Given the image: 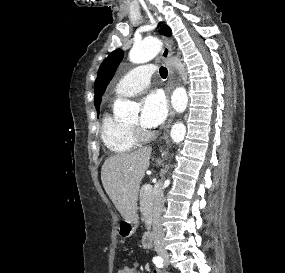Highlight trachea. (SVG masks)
<instances>
[{"mask_svg": "<svg viewBox=\"0 0 285 273\" xmlns=\"http://www.w3.org/2000/svg\"><path fill=\"white\" fill-rule=\"evenodd\" d=\"M159 72H160V76L163 79H165L167 77V75H168V71H167V69L165 67H161Z\"/></svg>", "mask_w": 285, "mask_h": 273, "instance_id": "1", "label": "trachea"}]
</instances>
